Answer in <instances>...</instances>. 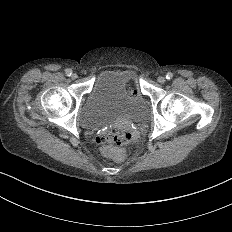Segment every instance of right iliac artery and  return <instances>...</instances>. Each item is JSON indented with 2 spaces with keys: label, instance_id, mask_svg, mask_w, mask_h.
<instances>
[{
  "label": "right iliac artery",
  "instance_id": "82829eb1",
  "mask_svg": "<svg viewBox=\"0 0 232 232\" xmlns=\"http://www.w3.org/2000/svg\"><path fill=\"white\" fill-rule=\"evenodd\" d=\"M66 75H67V76H71V75H72V71H71L70 69H67V70H66Z\"/></svg>",
  "mask_w": 232,
  "mask_h": 232
}]
</instances>
